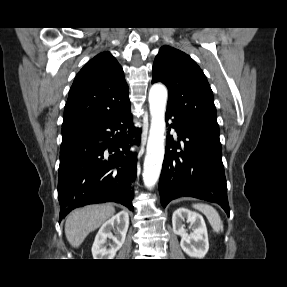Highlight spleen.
<instances>
[{
  "instance_id": "3e777b00",
  "label": "spleen",
  "mask_w": 287,
  "mask_h": 287,
  "mask_svg": "<svg viewBox=\"0 0 287 287\" xmlns=\"http://www.w3.org/2000/svg\"><path fill=\"white\" fill-rule=\"evenodd\" d=\"M193 207L202 212L208 219L215 232L223 231V224L221 218L215 208L208 204L197 203Z\"/></svg>"
}]
</instances>
